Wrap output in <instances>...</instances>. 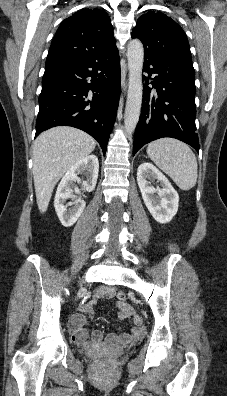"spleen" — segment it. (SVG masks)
I'll use <instances>...</instances> for the list:
<instances>
[{"instance_id": "obj_1", "label": "spleen", "mask_w": 227, "mask_h": 396, "mask_svg": "<svg viewBox=\"0 0 227 396\" xmlns=\"http://www.w3.org/2000/svg\"><path fill=\"white\" fill-rule=\"evenodd\" d=\"M147 154L181 190H189L196 184L197 160L185 143L173 138H162L148 144Z\"/></svg>"}]
</instances>
